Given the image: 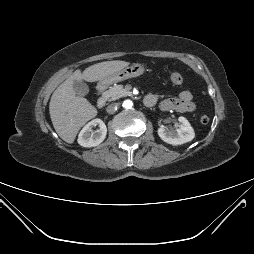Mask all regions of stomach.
Masks as SVG:
<instances>
[{
    "label": "stomach",
    "mask_w": 254,
    "mask_h": 254,
    "mask_svg": "<svg viewBox=\"0 0 254 254\" xmlns=\"http://www.w3.org/2000/svg\"><path fill=\"white\" fill-rule=\"evenodd\" d=\"M144 66L141 63H132L130 66L123 68L122 70L100 80L101 86H107L112 83L120 82L126 79L138 77L144 73Z\"/></svg>",
    "instance_id": "obj_1"
}]
</instances>
